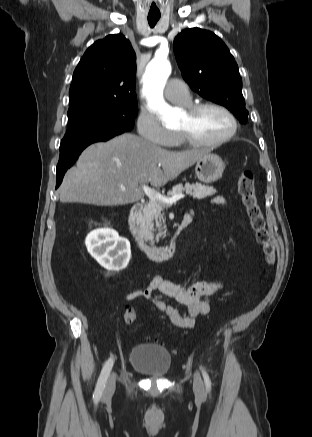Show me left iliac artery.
<instances>
[{
    "mask_svg": "<svg viewBox=\"0 0 312 437\" xmlns=\"http://www.w3.org/2000/svg\"><path fill=\"white\" fill-rule=\"evenodd\" d=\"M201 370H202V374H203V377H204V382H205V385H206V389H207V391H210L211 390V381L209 379V376H208L207 372L204 370L203 367H201Z\"/></svg>",
    "mask_w": 312,
    "mask_h": 437,
    "instance_id": "1",
    "label": "left iliac artery"
}]
</instances>
